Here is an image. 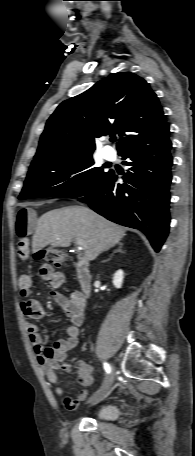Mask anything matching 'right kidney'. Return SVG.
I'll use <instances>...</instances> for the list:
<instances>
[{
  "mask_svg": "<svg viewBox=\"0 0 195 456\" xmlns=\"http://www.w3.org/2000/svg\"><path fill=\"white\" fill-rule=\"evenodd\" d=\"M124 278V272L122 270L116 271L113 276L112 283L116 288H121Z\"/></svg>",
  "mask_w": 195,
  "mask_h": 456,
  "instance_id": "1",
  "label": "right kidney"
}]
</instances>
